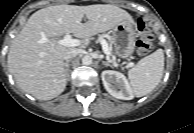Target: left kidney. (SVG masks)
<instances>
[{
    "mask_svg": "<svg viewBox=\"0 0 194 133\" xmlns=\"http://www.w3.org/2000/svg\"><path fill=\"white\" fill-rule=\"evenodd\" d=\"M101 77L105 89L113 97L122 100H131L133 98V91L122 73L105 70L102 72Z\"/></svg>",
    "mask_w": 194,
    "mask_h": 133,
    "instance_id": "left-kidney-1",
    "label": "left kidney"
}]
</instances>
